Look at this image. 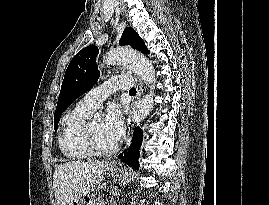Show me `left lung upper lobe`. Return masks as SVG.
Masks as SVG:
<instances>
[{"mask_svg":"<svg viewBox=\"0 0 269 205\" xmlns=\"http://www.w3.org/2000/svg\"><path fill=\"white\" fill-rule=\"evenodd\" d=\"M119 45H129L149 54L144 41L129 27L125 28ZM97 54L96 46H88L79 51L68 65L54 114L55 130L64 110L98 81L100 72L96 65Z\"/></svg>","mask_w":269,"mask_h":205,"instance_id":"left-lung-upper-lobe-1","label":"left lung upper lobe"}]
</instances>
